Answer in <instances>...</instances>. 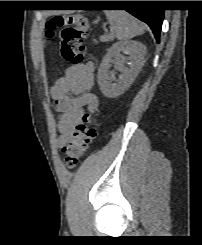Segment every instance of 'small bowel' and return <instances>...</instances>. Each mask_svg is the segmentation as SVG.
Wrapping results in <instances>:
<instances>
[{"mask_svg": "<svg viewBox=\"0 0 202 245\" xmlns=\"http://www.w3.org/2000/svg\"><path fill=\"white\" fill-rule=\"evenodd\" d=\"M94 66L92 63L71 65L51 87L59 112V137L56 145L63 148L83 122L85 108L90 114L97 111L99 100L92 93Z\"/></svg>", "mask_w": 202, "mask_h": 245, "instance_id": "1", "label": "small bowel"}]
</instances>
